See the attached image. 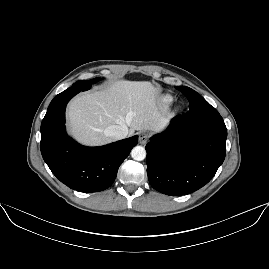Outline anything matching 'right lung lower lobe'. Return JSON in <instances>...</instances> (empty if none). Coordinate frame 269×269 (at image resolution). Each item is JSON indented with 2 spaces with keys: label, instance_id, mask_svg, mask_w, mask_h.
<instances>
[{
  "label": "right lung lower lobe",
  "instance_id": "right-lung-lower-lobe-1",
  "mask_svg": "<svg viewBox=\"0 0 269 269\" xmlns=\"http://www.w3.org/2000/svg\"><path fill=\"white\" fill-rule=\"evenodd\" d=\"M80 91L85 90L72 86L51 101L41 124V153L52 173L69 188L99 192L112 185L119 166L137 145L138 136L101 147L81 146L68 137L65 108Z\"/></svg>",
  "mask_w": 269,
  "mask_h": 269
}]
</instances>
